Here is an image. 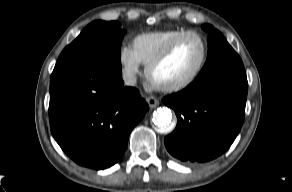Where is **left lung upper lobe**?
Listing matches in <instances>:
<instances>
[{
	"label": "left lung upper lobe",
	"instance_id": "left-lung-upper-lobe-1",
	"mask_svg": "<svg viewBox=\"0 0 292 192\" xmlns=\"http://www.w3.org/2000/svg\"><path fill=\"white\" fill-rule=\"evenodd\" d=\"M202 29L208 33V58L195 80L221 73H244L239 55L223 35L209 24L202 25Z\"/></svg>",
	"mask_w": 292,
	"mask_h": 192
}]
</instances>
